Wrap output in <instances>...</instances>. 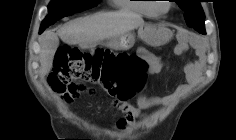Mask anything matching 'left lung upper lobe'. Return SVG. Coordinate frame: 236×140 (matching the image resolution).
I'll use <instances>...</instances> for the list:
<instances>
[{
	"label": "left lung upper lobe",
	"mask_w": 236,
	"mask_h": 140,
	"mask_svg": "<svg viewBox=\"0 0 236 140\" xmlns=\"http://www.w3.org/2000/svg\"><path fill=\"white\" fill-rule=\"evenodd\" d=\"M175 2L185 12L184 17L187 25L205 35V15L200 0H175Z\"/></svg>",
	"instance_id": "1"
}]
</instances>
